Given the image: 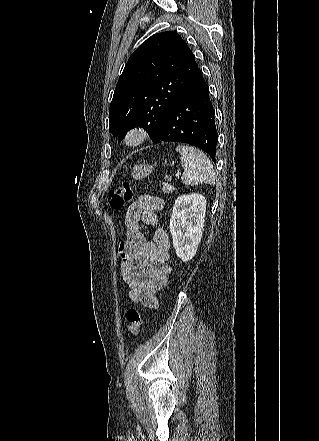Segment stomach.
<instances>
[{"mask_svg": "<svg viewBox=\"0 0 319 441\" xmlns=\"http://www.w3.org/2000/svg\"><path fill=\"white\" fill-rule=\"evenodd\" d=\"M152 170H153V166L149 164L135 165L132 168L131 176L135 180H141L147 175H149L152 172Z\"/></svg>", "mask_w": 319, "mask_h": 441, "instance_id": "1", "label": "stomach"}]
</instances>
